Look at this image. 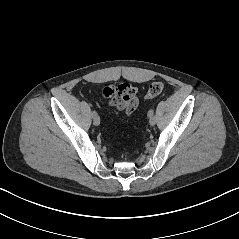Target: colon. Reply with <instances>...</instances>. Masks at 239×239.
<instances>
[{
    "label": "colon",
    "mask_w": 239,
    "mask_h": 239,
    "mask_svg": "<svg viewBox=\"0 0 239 239\" xmlns=\"http://www.w3.org/2000/svg\"><path fill=\"white\" fill-rule=\"evenodd\" d=\"M163 88H164L163 82L158 81L152 83L148 88L145 98L151 99L158 96L162 92Z\"/></svg>",
    "instance_id": "obj_1"
}]
</instances>
